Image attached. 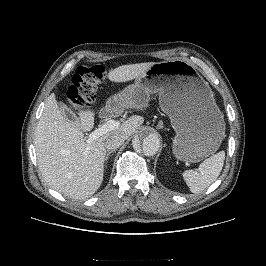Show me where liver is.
I'll return each instance as SVG.
<instances>
[{
	"label": "liver",
	"instance_id": "liver-1",
	"mask_svg": "<svg viewBox=\"0 0 266 266\" xmlns=\"http://www.w3.org/2000/svg\"><path fill=\"white\" fill-rule=\"evenodd\" d=\"M153 64L155 62L122 65L111 70L108 78L112 82H127L143 76ZM78 115L75 121L68 120L59 110L55 94H50L36 127L34 144L45 182L68 198L85 199L92 196L103 181L105 139L112 134H121L127 139L144 119L133 116L88 143L83 131L93 128L95 113L80 110Z\"/></svg>",
	"mask_w": 266,
	"mask_h": 266
}]
</instances>
